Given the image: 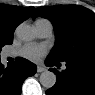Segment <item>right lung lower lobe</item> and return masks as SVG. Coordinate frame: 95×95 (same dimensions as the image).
<instances>
[{"label": "right lung lower lobe", "mask_w": 95, "mask_h": 95, "mask_svg": "<svg viewBox=\"0 0 95 95\" xmlns=\"http://www.w3.org/2000/svg\"><path fill=\"white\" fill-rule=\"evenodd\" d=\"M35 73L36 66L24 58L6 69L0 63V95H20L23 81Z\"/></svg>", "instance_id": "98d812e1"}]
</instances>
